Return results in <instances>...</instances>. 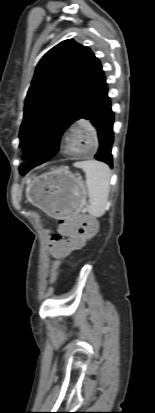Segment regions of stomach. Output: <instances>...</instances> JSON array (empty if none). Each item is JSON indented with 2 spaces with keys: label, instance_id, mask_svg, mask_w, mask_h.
Returning <instances> with one entry per match:
<instances>
[{
  "label": "stomach",
  "instance_id": "1",
  "mask_svg": "<svg viewBox=\"0 0 155 413\" xmlns=\"http://www.w3.org/2000/svg\"><path fill=\"white\" fill-rule=\"evenodd\" d=\"M87 186L66 168H57L29 180L28 200L49 216L64 219L86 205Z\"/></svg>",
  "mask_w": 155,
  "mask_h": 413
}]
</instances>
